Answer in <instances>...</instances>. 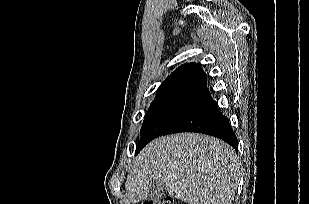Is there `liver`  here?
<instances>
[{
  "mask_svg": "<svg viewBox=\"0 0 309 204\" xmlns=\"http://www.w3.org/2000/svg\"><path fill=\"white\" fill-rule=\"evenodd\" d=\"M240 164L220 139L181 133L159 137L134 161L125 188L132 202L148 198L152 180L164 183L170 196L188 204H232Z\"/></svg>",
  "mask_w": 309,
  "mask_h": 204,
  "instance_id": "1",
  "label": "liver"
}]
</instances>
